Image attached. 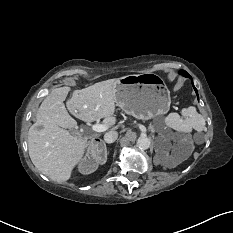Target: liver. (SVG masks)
<instances>
[{"mask_svg": "<svg viewBox=\"0 0 233 233\" xmlns=\"http://www.w3.org/2000/svg\"><path fill=\"white\" fill-rule=\"evenodd\" d=\"M117 80L109 79L72 91L67 108L64 101L71 91L68 86L53 89L43 100L36 123L28 132L29 156L41 173L56 182L67 181L88 146L86 137L74 136L67 130L77 125L68 110L84 122L105 118L107 128L116 123L113 115Z\"/></svg>", "mask_w": 233, "mask_h": 233, "instance_id": "obj_1", "label": "liver"}]
</instances>
